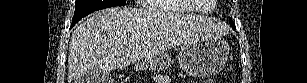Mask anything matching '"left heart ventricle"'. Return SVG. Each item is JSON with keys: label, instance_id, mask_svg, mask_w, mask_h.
<instances>
[{"label": "left heart ventricle", "instance_id": "b2bd125f", "mask_svg": "<svg viewBox=\"0 0 307 83\" xmlns=\"http://www.w3.org/2000/svg\"><path fill=\"white\" fill-rule=\"evenodd\" d=\"M203 3H209L208 1L207 2H203ZM211 8V5L210 4H207V5H201V9L202 10H209Z\"/></svg>", "mask_w": 307, "mask_h": 83}]
</instances>
